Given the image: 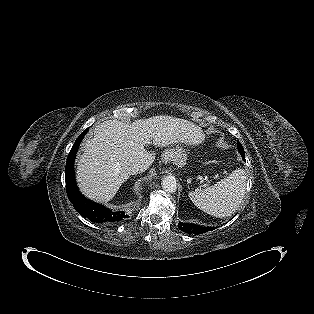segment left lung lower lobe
Here are the masks:
<instances>
[{
  "instance_id": "obj_1",
  "label": "left lung lower lobe",
  "mask_w": 314,
  "mask_h": 314,
  "mask_svg": "<svg viewBox=\"0 0 314 314\" xmlns=\"http://www.w3.org/2000/svg\"><path fill=\"white\" fill-rule=\"evenodd\" d=\"M241 156H242L243 160H245V153L244 152H241ZM178 228L181 231H184L186 233H193L196 235L215 229L214 227H202V226H198L195 224H188V223H182V222L179 223Z\"/></svg>"
}]
</instances>
